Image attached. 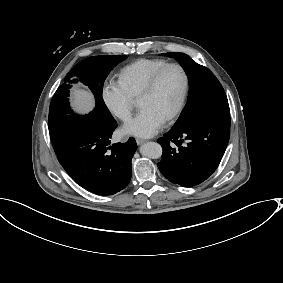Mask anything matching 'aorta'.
<instances>
[{"instance_id": "762f6f07", "label": "aorta", "mask_w": 283, "mask_h": 283, "mask_svg": "<svg viewBox=\"0 0 283 283\" xmlns=\"http://www.w3.org/2000/svg\"><path fill=\"white\" fill-rule=\"evenodd\" d=\"M140 153L151 159H158L162 155V147L156 142H147L140 147Z\"/></svg>"}]
</instances>
